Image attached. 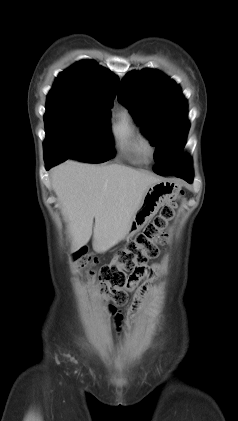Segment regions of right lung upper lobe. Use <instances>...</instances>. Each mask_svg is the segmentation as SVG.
Returning a JSON list of instances; mask_svg holds the SVG:
<instances>
[{"mask_svg": "<svg viewBox=\"0 0 238 421\" xmlns=\"http://www.w3.org/2000/svg\"><path fill=\"white\" fill-rule=\"evenodd\" d=\"M118 84V77L108 69L81 60L58 75L49 94L112 104Z\"/></svg>", "mask_w": 238, "mask_h": 421, "instance_id": "obj_1", "label": "right lung upper lobe"}]
</instances>
